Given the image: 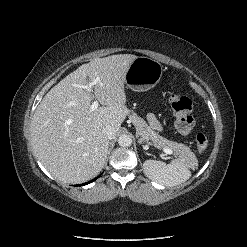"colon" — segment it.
Returning a JSON list of instances; mask_svg holds the SVG:
<instances>
[{
    "mask_svg": "<svg viewBox=\"0 0 247 247\" xmlns=\"http://www.w3.org/2000/svg\"><path fill=\"white\" fill-rule=\"evenodd\" d=\"M169 102L174 115L176 130L181 135H189L194 127V119L191 116L192 102L188 96L180 93H171ZM195 149L198 153H203L208 147L207 137L199 133L195 137Z\"/></svg>",
    "mask_w": 247,
    "mask_h": 247,
    "instance_id": "1",
    "label": "colon"
}]
</instances>
